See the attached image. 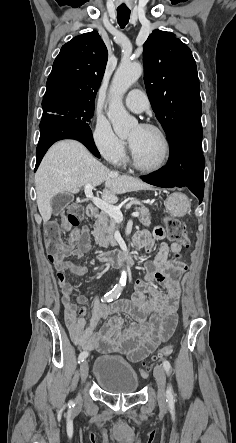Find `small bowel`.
I'll list each match as a JSON object with an SVG mask.
<instances>
[{"instance_id":"c3829d8e","label":"small bowel","mask_w":236,"mask_h":443,"mask_svg":"<svg viewBox=\"0 0 236 443\" xmlns=\"http://www.w3.org/2000/svg\"><path fill=\"white\" fill-rule=\"evenodd\" d=\"M154 230L153 237L147 231L140 232L134 238L137 248L151 251L154 240H162L163 234ZM69 255L78 260L91 250L90 231L87 227L74 229L69 241L62 244ZM169 251L174 259L168 258ZM181 246L173 243L168 246L161 242L159 251L153 261L146 264V274L137 279L132 300L119 301L111 306L95 302L86 308L88 298L79 295L73 299L74 285L67 279L69 274L83 276L88 268L80 263L53 260L56 270V282L60 292L61 304L64 308L65 322L73 342L88 352L98 349L107 352L112 348L123 349L133 361L145 358L160 343L168 340L177 325V306L181 293L179 277L187 270L186 264L179 260ZM159 282L166 292L153 289L149 283ZM121 313L129 314L137 323H126ZM90 315V320L84 318ZM109 317L108 322L96 331L99 323Z\"/></svg>"}]
</instances>
